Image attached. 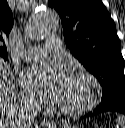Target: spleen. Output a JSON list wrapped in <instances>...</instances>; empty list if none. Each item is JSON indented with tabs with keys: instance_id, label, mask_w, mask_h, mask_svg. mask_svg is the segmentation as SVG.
<instances>
[{
	"instance_id": "1",
	"label": "spleen",
	"mask_w": 125,
	"mask_h": 128,
	"mask_svg": "<svg viewBox=\"0 0 125 128\" xmlns=\"http://www.w3.org/2000/svg\"><path fill=\"white\" fill-rule=\"evenodd\" d=\"M116 128H125V116L124 115L118 116Z\"/></svg>"
}]
</instances>
